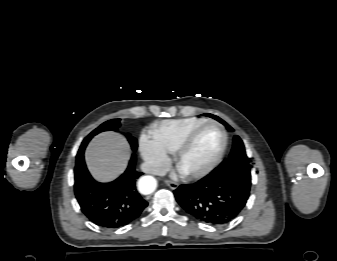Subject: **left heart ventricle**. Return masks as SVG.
<instances>
[{
  "label": "left heart ventricle",
  "instance_id": "left-heart-ventricle-1",
  "mask_svg": "<svg viewBox=\"0 0 337 261\" xmlns=\"http://www.w3.org/2000/svg\"><path fill=\"white\" fill-rule=\"evenodd\" d=\"M222 145V133L216 126L204 128L181 160L184 172H193L206 166L218 153Z\"/></svg>",
  "mask_w": 337,
  "mask_h": 261
}]
</instances>
